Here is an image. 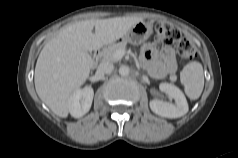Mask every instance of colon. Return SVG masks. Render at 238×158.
<instances>
[{
	"mask_svg": "<svg viewBox=\"0 0 238 158\" xmlns=\"http://www.w3.org/2000/svg\"><path fill=\"white\" fill-rule=\"evenodd\" d=\"M155 30V41L157 43L165 46L176 45L179 56L184 60H191L196 57V50L192 43L171 24L158 23Z\"/></svg>",
	"mask_w": 238,
	"mask_h": 158,
	"instance_id": "1",
	"label": "colon"
}]
</instances>
